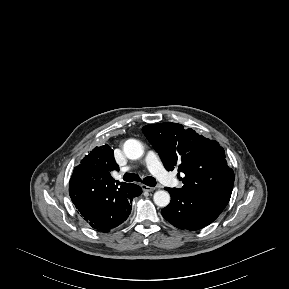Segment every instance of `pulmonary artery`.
Here are the masks:
<instances>
[{
  "instance_id": "pulmonary-artery-1",
  "label": "pulmonary artery",
  "mask_w": 289,
  "mask_h": 289,
  "mask_svg": "<svg viewBox=\"0 0 289 289\" xmlns=\"http://www.w3.org/2000/svg\"><path fill=\"white\" fill-rule=\"evenodd\" d=\"M144 163L149 171L165 184L170 183V176L161 164L158 156L153 151H148L144 157ZM131 169L130 166L122 168V172H127Z\"/></svg>"
}]
</instances>
